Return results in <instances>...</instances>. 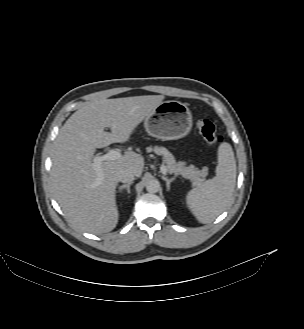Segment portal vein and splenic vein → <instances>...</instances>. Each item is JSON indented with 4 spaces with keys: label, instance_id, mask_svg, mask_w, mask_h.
I'll use <instances>...</instances> for the list:
<instances>
[{
    "label": "portal vein and splenic vein",
    "instance_id": "1",
    "mask_svg": "<svg viewBox=\"0 0 304 329\" xmlns=\"http://www.w3.org/2000/svg\"><path fill=\"white\" fill-rule=\"evenodd\" d=\"M121 152H119L116 149H111L109 150L106 154L101 155V156H95L92 160L93 162V167L99 172L100 171V165L103 161H112V160H117L121 158ZM161 172L163 174L167 173V168L164 164L161 165ZM100 175V173H99ZM101 176V175H100Z\"/></svg>",
    "mask_w": 304,
    "mask_h": 329
}]
</instances>
